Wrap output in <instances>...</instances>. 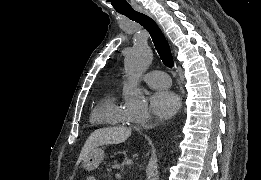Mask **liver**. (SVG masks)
I'll return each instance as SVG.
<instances>
[{
  "label": "liver",
  "mask_w": 261,
  "mask_h": 180,
  "mask_svg": "<svg viewBox=\"0 0 261 180\" xmlns=\"http://www.w3.org/2000/svg\"><path fill=\"white\" fill-rule=\"evenodd\" d=\"M131 136V128H123V126H115V128H100L90 134L88 140H86L81 154L76 162V166H79L83 158H87L90 152L97 148V146H108V144H122L127 138Z\"/></svg>",
  "instance_id": "6515ba94"
}]
</instances>
